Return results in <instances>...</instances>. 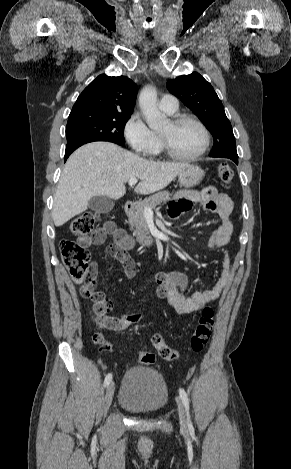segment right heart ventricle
I'll use <instances>...</instances> for the list:
<instances>
[{
  "label": "right heart ventricle",
  "mask_w": 291,
  "mask_h": 469,
  "mask_svg": "<svg viewBox=\"0 0 291 469\" xmlns=\"http://www.w3.org/2000/svg\"><path fill=\"white\" fill-rule=\"evenodd\" d=\"M168 114H173V113H168ZM160 151H161V142H160V138L158 137V145H157L155 151L153 152V155H158L160 153Z\"/></svg>",
  "instance_id": "e07e8e85"
}]
</instances>
